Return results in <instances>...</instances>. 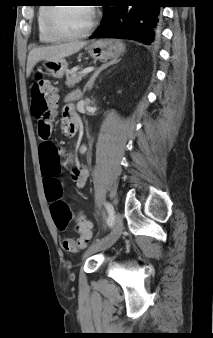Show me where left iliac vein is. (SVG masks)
I'll list each match as a JSON object with an SVG mask.
<instances>
[{"label":"left iliac vein","mask_w":213,"mask_h":338,"mask_svg":"<svg viewBox=\"0 0 213 338\" xmlns=\"http://www.w3.org/2000/svg\"><path fill=\"white\" fill-rule=\"evenodd\" d=\"M123 230V218L117 213L114 218V226L111 233L102 241L97 242L90 246L83 255V258H87L93 255L96 252L101 250H105L116 243V241L120 238Z\"/></svg>","instance_id":"left-iliac-vein-1"}]
</instances>
